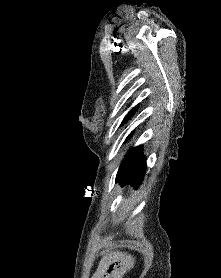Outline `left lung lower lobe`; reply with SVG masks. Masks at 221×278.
<instances>
[{
	"label": "left lung lower lobe",
	"instance_id": "left-lung-lower-lobe-1",
	"mask_svg": "<svg viewBox=\"0 0 221 278\" xmlns=\"http://www.w3.org/2000/svg\"><path fill=\"white\" fill-rule=\"evenodd\" d=\"M132 133L127 137L128 140ZM147 169L146 157L143 155L142 146L131 149L122 160L117 172V180H122V185L131 184L138 187Z\"/></svg>",
	"mask_w": 221,
	"mask_h": 278
}]
</instances>
